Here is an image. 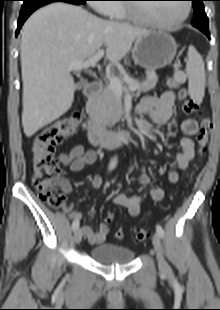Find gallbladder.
Wrapping results in <instances>:
<instances>
[{
    "label": "gallbladder",
    "instance_id": "bac80fb5",
    "mask_svg": "<svg viewBox=\"0 0 220 310\" xmlns=\"http://www.w3.org/2000/svg\"><path fill=\"white\" fill-rule=\"evenodd\" d=\"M84 83L83 82H78L75 87L76 89H81L83 87Z\"/></svg>",
    "mask_w": 220,
    "mask_h": 310
}]
</instances>
